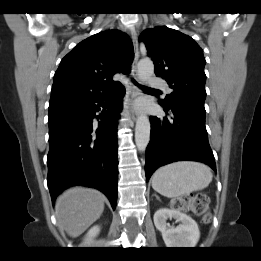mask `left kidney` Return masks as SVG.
Instances as JSON below:
<instances>
[{"instance_id": "left-kidney-1", "label": "left kidney", "mask_w": 261, "mask_h": 261, "mask_svg": "<svg viewBox=\"0 0 261 261\" xmlns=\"http://www.w3.org/2000/svg\"><path fill=\"white\" fill-rule=\"evenodd\" d=\"M168 218H174L181 222L177 227H170ZM154 224L161 232L163 240L169 248H192L195 247L200 231L197 223L190 216L179 210L162 208L154 214Z\"/></svg>"}]
</instances>
